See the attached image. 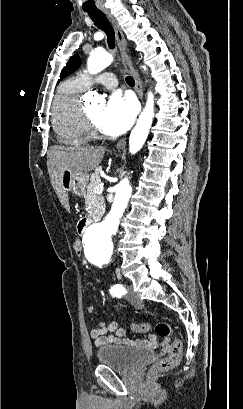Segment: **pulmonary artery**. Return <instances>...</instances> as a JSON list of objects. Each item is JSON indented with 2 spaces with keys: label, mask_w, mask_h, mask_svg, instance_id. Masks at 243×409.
Wrapping results in <instances>:
<instances>
[{
  "label": "pulmonary artery",
  "mask_w": 243,
  "mask_h": 409,
  "mask_svg": "<svg viewBox=\"0 0 243 409\" xmlns=\"http://www.w3.org/2000/svg\"><path fill=\"white\" fill-rule=\"evenodd\" d=\"M87 86L98 83L108 89H114L117 86V79L113 73L105 72L96 77H91L88 74H80L79 76Z\"/></svg>",
  "instance_id": "1"
}]
</instances>
